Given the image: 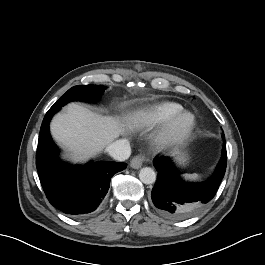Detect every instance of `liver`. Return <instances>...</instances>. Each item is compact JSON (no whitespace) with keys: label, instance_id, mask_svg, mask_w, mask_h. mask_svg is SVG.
Segmentation results:
<instances>
[{"label":"liver","instance_id":"obj_1","mask_svg":"<svg viewBox=\"0 0 265 265\" xmlns=\"http://www.w3.org/2000/svg\"><path fill=\"white\" fill-rule=\"evenodd\" d=\"M136 118L126 123L110 116L96 114L78 104H69L65 113L57 114L51 122V134L71 153L74 162L86 161L137 125Z\"/></svg>","mask_w":265,"mask_h":265}]
</instances>
